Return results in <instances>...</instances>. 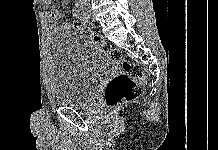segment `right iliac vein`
<instances>
[{"instance_id":"1","label":"right iliac vein","mask_w":218,"mask_h":150,"mask_svg":"<svg viewBox=\"0 0 218 150\" xmlns=\"http://www.w3.org/2000/svg\"><path fill=\"white\" fill-rule=\"evenodd\" d=\"M83 12L87 17L89 18L91 17V11L88 8L84 7Z\"/></svg>"}]
</instances>
